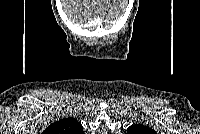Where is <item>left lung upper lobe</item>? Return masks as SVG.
Listing matches in <instances>:
<instances>
[{"mask_svg":"<svg viewBox=\"0 0 200 134\" xmlns=\"http://www.w3.org/2000/svg\"><path fill=\"white\" fill-rule=\"evenodd\" d=\"M156 132L144 125L135 124L127 129V134H155Z\"/></svg>","mask_w":200,"mask_h":134,"instance_id":"1","label":"left lung upper lobe"}]
</instances>
